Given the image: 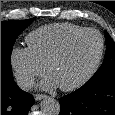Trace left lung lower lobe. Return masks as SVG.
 Segmentation results:
<instances>
[{
  "label": "left lung lower lobe",
  "instance_id": "0a47b994",
  "mask_svg": "<svg viewBox=\"0 0 115 115\" xmlns=\"http://www.w3.org/2000/svg\"><path fill=\"white\" fill-rule=\"evenodd\" d=\"M59 115H115V77L92 84L60 99Z\"/></svg>",
  "mask_w": 115,
  "mask_h": 115
}]
</instances>
